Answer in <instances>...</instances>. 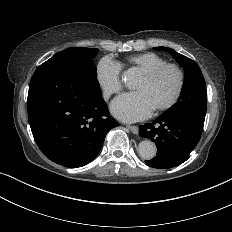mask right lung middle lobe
<instances>
[{"label": "right lung middle lobe", "mask_w": 232, "mask_h": 232, "mask_svg": "<svg viewBox=\"0 0 232 232\" xmlns=\"http://www.w3.org/2000/svg\"><path fill=\"white\" fill-rule=\"evenodd\" d=\"M98 53V49L95 48H81L73 47L68 48L54 55L52 59H64L74 62H86L91 61ZM84 69L90 74L92 78L97 79V69L95 64L84 63Z\"/></svg>", "instance_id": "dd1d6c3e"}]
</instances>
